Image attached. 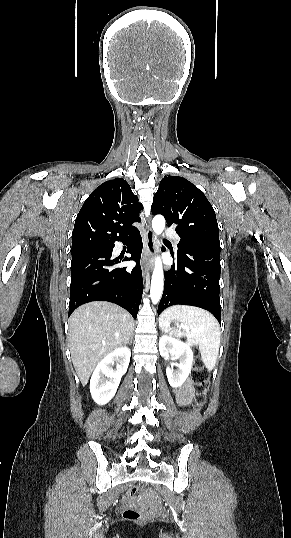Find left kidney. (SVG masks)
Here are the masks:
<instances>
[{
  "mask_svg": "<svg viewBox=\"0 0 291 538\" xmlns=\"http://www.w3.org/2000/svg\"><path fill=\"white\" fill-rule=\"evenodd\" d=\"M159 351L160 355L166 359H169L170 355H172L174 359L179 360L178 364L172 363L171 366L166 368V374L172 387H181L192 369L194 355L190 344L171 336L163 335L159 339ZM173 365L178 367L176 371L173 370Z\"/></svg>",
  "mask_w": 291,
  "mask_h": 538,
  "instance_id": "left-kidney-1",
  "label": "left kidney"
}]
</instances>
